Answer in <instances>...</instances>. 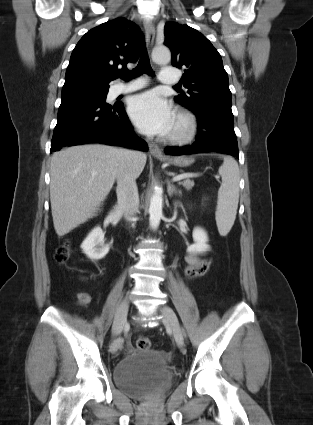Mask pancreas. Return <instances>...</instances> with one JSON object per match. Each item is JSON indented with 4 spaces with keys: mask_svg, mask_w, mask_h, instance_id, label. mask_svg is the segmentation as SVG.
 <instances>
[{
    "mask_svg": "<svg viewBox=\"0 0 313 425\" xmlns=\"http://www.w3.org/2000/svg\"><path fill=\"white\" fill-rule=\"evenodd\" d=\"M179 184L185 187L187 190H190L192 189V187H194V181H191L189 179H186L183 182H180Z\"/></svg>",
    "mask_w": 313,
    "mask_h": 425,
    "instance_id": "1",
    "label": "pancreas"
}]
</instances>
